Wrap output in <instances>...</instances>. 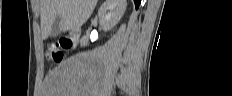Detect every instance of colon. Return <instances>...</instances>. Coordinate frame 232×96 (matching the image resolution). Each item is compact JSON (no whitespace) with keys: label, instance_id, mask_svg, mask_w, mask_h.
<instances>
[{"label":"colon","instance_id":"5ec220e1","mask_svg":"<svg viewBox=\"0 0 232 96\" xmlns=\"http://www.w3.org/2000/svg\"><path fill=\"white\" fill-rule=\"evenodd\" d=\"M70 47L68 40L53 42L48 47V56L55 62H61L65 57V51Z\"/></svg>","mask_w":232,"mask_h":96}]
</instances>
